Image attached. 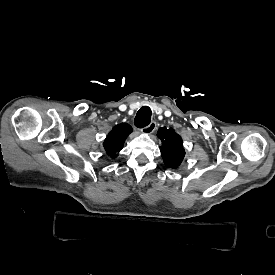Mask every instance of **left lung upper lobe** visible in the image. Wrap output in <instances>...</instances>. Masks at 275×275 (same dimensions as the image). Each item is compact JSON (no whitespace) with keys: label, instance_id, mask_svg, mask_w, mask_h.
Segmentation results:
<instances>
[{"label":"left lung upper lobe","instance_id":"obj_1","mask_svg":"<svg viewBox=\"0 0 275 275\" xmlns=\"http://www.w3.org/2000/svg\"><path fill=\"white\" fill-rule=\"evenodd\" d=\"M157 136L162 142L161 154L165 165L173 169L177 168L185 156L181 136L174 129L166 127L160 128Z\"/></svg>","mask_w":275,"mask_h":275}]
</instances>
